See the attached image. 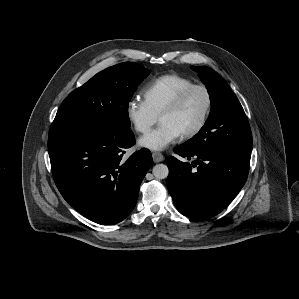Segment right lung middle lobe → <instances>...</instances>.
I'll use <instances>...</instances> for the list:
<instances>
[{"mask_svg":"<svg viewBox=\"0 0 299 299\" xmlns=\"http://www.w3.org/2000/svg\"><path fill=\"white\" fill-rule=\"evenodd\" d=\"M149 73L143 66L131 62L99 72L65 98L50 130L130 129L128 103Z\"/></svg>","mask_w":299,"mask_h":299,"instance_id":"obj_1","label":"right lung middle lobe"}]
</instances>
